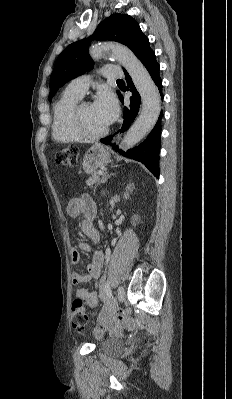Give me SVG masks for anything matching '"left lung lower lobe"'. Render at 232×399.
Masks as SVG:
<instances>
[{
	"label": "left lung lower lobe",
	"instance_id": "obj_1",
	"mask_svg": "<svg viewBox=\"0 0 232 399\" xmlns=\"http://www.w3.org/2000/svg\"><path fill=\"white\" fill-rule=\"evenodd\" d=\"M137 58L143 63L148 72L150 73L153 81L158 87L161 96L162 94V80L159 76L160 66L156 61L155 53L150 48L149 43L143 46L138 53L136 54ZM126 74V82L127 86L130 88L132 92V96L130 97V106L129 108H124V120L119 132L126 131L134 119L136 118L139 108H140V94L136 91V88L131 80V77ZM119 98L123 103V96L120 94ZM161 118L162 112L160 113L159 120L154 126L153 130L150 132L148 137L137 147L130 149L128 152H124L118 148V146L113 145L112 148L115 151H118L121 155L128 157L130 159L137 160L143 163L147 169L157 178H159V151H160V133H161ZM112 136L101 139L100 141L104 144H109Z\"/></svg>",
	"mask_w": 232,
	"mask_h": 399
}]
</instances>
